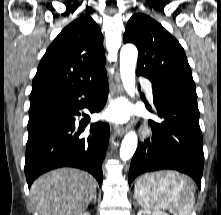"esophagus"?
I'll return each instance as SVG.
<instances>
[{"label":"esophagus","mask_w":221,"mask_h":215,"mask_svg":"<svg viewBox=\"0 0 221 215\" xmlns=\"http://www.w3.org/2000/svg\"><path fill=\"white\" fill-rule=\"evenodd\" d=\"M113 94L115 96H121L123 94V86L118 74L114 76ZM113 130L116 135L122 136L127 131V126L116 124L114 125Z\"/></svg>","instance_id":"obj_1"}]
</instances>
